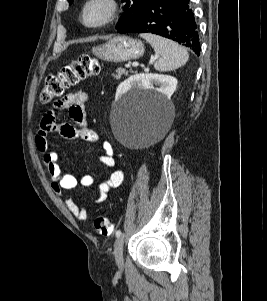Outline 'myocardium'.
Returning <instances> with one entry per match:
<instances>
[{
	"label": "myocardium",
	"instance_id": "1",
	"mask_svg": "<svg viewBox=\"0 0 267 301\" xmlns=\"http://www.w3.org/2000/svg\"><path fill=\"white\" fill-rule=\"evenodd\" d=\"M103 4L106 8L104 16L95 22H89L87 20L88 9L96 4ZM120 10V5L117 0H86L82 6L81 11V21L84 26L89 28H100L112 23L118 16Z\"/></svg>",
	"mask_w": 267,
	"mask_h": 301
}]
</instances>
